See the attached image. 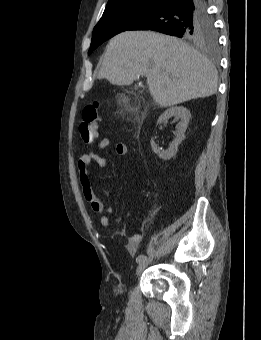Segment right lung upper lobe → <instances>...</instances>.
I'll return each instance as SVG.
<instances>
[{"label": "right lung upper lobe", "mask_w": 261, "mask_h": 340, "mask_svg": "<svg viewBox=\"0 0 261 340\" xmlns=\"http://www.w3.org/2000/svg\"><path fill=\"white\" fill-rule=\"evenodd\" d=\"M135 1H143V0H109L106 5L105 10L115 7V6L124 5V4L135 2ZM150 1H161V0H150Z\"/></svg>", "instance_id": "obj_1"}]
</instances>
